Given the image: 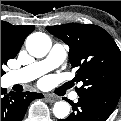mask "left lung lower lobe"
<instances>
[{
    "label": "left lung lower lobe",
    "mask_w": 121,
    "mask_h": 121,
    "mask_svg": "<svg viewBox=\"0 0 121 121\" xmlns=\"http://www.w3.org/2000/svg\"><path fill=\"white\" fill-rule=\"evenodd\" d=\"M69 102L73 112L68 118L58 121H106L112 113L83 98H79L76 104Z\"/></svg>",
    "instance_id": "0a47b994"
}]
</instances>
